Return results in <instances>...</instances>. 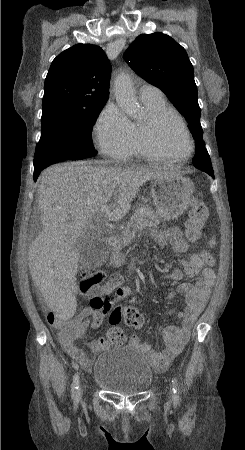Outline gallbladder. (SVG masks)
Returning <instances> with one entry per match:
<instances>
[{
  "instance_id": "gallbladder-1",
  "label": "gallbladder",
  "mask_w": 245,
  "mask_h": 450,
  "mask_svg": "<svg viewBox=\"0 0 245 450\" xmlns=\"http://www.w3.org/2000/svg\"><path fill=\"white\" fill-rule=\"evenodd\" d=\"M79 252L81 268L101 264L107 256V247L103 241L93 238L90 234L81 236L75 243Z\"/></svg>"
}]
</instances>
